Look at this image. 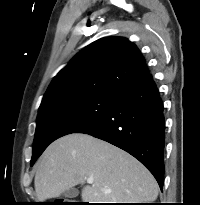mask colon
Returning a JSON list of instances; mask_svg holds the SVG:
<instances>
[{"instance_id":"obj_1","label":"colon","mask_w":200,"mask_h":205,"mask_svg":"<svg viewBox=\"0 0 200 205\" xmlns=\"http://www.w3.org/2000/svg\"><path fill=\"white\" fill-rule=\"evenodd\" d=\"M56 205H72V203L68 201H61V202H58Z\"/></svg>"}]
</instances>
